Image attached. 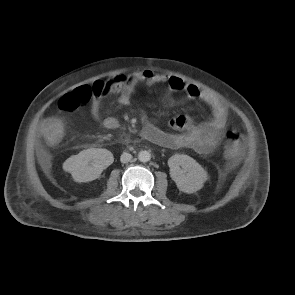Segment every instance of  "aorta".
Masks as SVG:
<instances>
[{"instance_id": "aorta-1", "label": "aorta", "mask_w": 295, "mask_h": 295, "mask_svg": "<svg viewBox=\"0 0 295 295\" xmlns=\"http://www.w3.org/2000/svg\"><path fill=\"white\" fill-rule=\"evenodd\" d=\"M138 159L141 162H148L151 159V154L146 150H142L138 154Z\"/></svg>"}]
</instances>
